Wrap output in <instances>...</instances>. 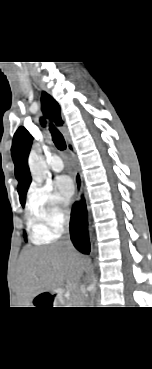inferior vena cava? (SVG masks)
I'll use <instances>...</instances> for the list:
<instances>
[{
    "label": "inferior vena cava",
    "mask_w": 152,
    "mask_h": 369,
    "mask_svg": "<svg viewBox=\"0 0 152 369\" xmlns=\"http://www.w3.org/2000/svg\"><path fill=\"white\" fill-rule=\"evenodd\" d=\"M64 226H65V236L63 237L64 241H62L61 243L68 246L69 248H72L73 246H72V243L70 241V236H69V219L68 218H66Z\"/></svg>",
    "instance_id": "obj_1"
}]
</instances>
